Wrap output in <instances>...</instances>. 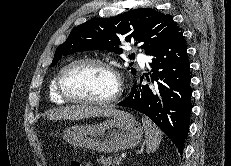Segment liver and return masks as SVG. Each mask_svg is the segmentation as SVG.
<instances>
[{"label": "liver", "instance_id": "6515ba94", "mask_svg": "<svg viewBox=\"0 0 231 166\" xmlns=\"http://www.w3.org/2000/svg\"><path fill=\"white\" fill-rule=\"evenodd\" d=\"M122 113L124 112L112 107L66 106L49 111L47 117L51 120H80L97 116L117 117Z\"/></svg>", "mask_w": 231, "mask_h": 166}]
</instances>
